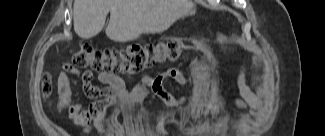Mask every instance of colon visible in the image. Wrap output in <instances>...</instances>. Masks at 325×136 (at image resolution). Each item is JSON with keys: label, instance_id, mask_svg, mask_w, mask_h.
I'll list each match as a JSON object with an SVG mask.
<instances>
[{"label": "colon", "instance_id": "1", "mask_svg": "<svg viewBox=\"0 0 325 136\" xmlns=\"http://www.w3.org/2000/svg\"><path fill=\"white\" fill-rule=\"evenodd\" d=\"M181 53L182 48L177 42L105 50H98L84 43L74 51L72 60L76 66H89L100 72L134 74L155 64L176 60ZM42 92L45 97L52 93V83L48 75L43 76Z\"/></svg>", "mask_w": 325, "mask_h": 136}]
</instances>
